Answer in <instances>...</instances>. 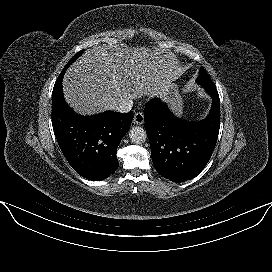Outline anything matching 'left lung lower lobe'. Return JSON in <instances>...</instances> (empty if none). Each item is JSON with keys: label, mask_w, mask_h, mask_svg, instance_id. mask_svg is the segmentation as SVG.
Segmentation results:
<instances>
[{"label": "left lung lower lobe", "mask_w": 272, "mask_h": 272, "mask_svg": "<svg viewBox=\"0 0 272 272\" xmlns=\"http://www.w3.org/2000/svg\"><path fill=\"white\" fill-rule=\"evenodd\" d=\"M212 97L209 115L199 122L175 117L158 98L150 100L144 112L145 129L157 172L173 182L197 176L208 163L220 128V100L214 83L202 85Z\"/></svg>", "instance_id": "0a47b994"}]
</instances>
